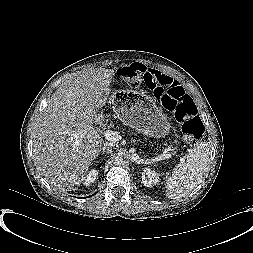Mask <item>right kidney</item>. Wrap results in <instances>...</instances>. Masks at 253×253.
Listing matches in <instances>:
<instances>
[{"mask_svg": "<svg viewBox=\"0 0 253 253\" xmlns=\"http://www.w3.org/2000/svg\"><path fill=\"white\" fill-rule=\"evenodd\" d=\"M98 171L95 169H92L89 171L84 179V185L89 186L90 184L94 183L97 179Z\"/></svg>", "mask_w": 253, "mask_h": 253, "instance_id": "right-kidney-1", "label": "right kidney"}]
</instances>
